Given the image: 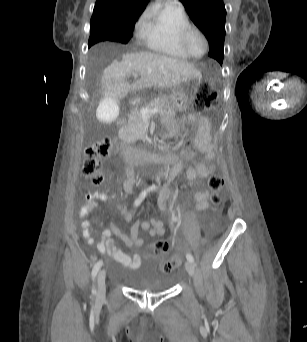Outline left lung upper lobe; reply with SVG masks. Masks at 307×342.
Listing matches in <instances>:
<instances>
[{
    "mask_svg": "<svg viewBox=\"0 0 307 342\" xmlns=\"http://www.w3.org/2000/svg\"><path fill=\"white\" fill-rule=\"evenodd\" d=\"M210 44L208 55L223 62L226 10L222 0H180Z\"/></svg>",
    "mask_w": 307,
    "mask_h": 342,
    "instance_id": "1",
    "label": "left lung upper lobe"
}]
</instances>
